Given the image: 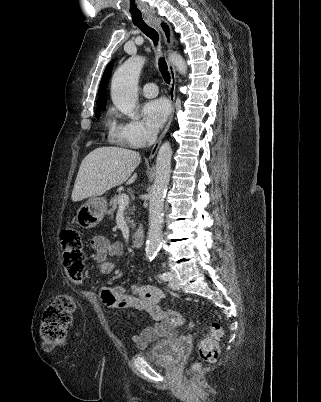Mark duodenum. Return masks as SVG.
Listing matches in <instances>:
<instances>
[{"label": "duodenum", "mask_w": 321, "mask_h": 402, "mask_svg": "<svg viewBox=\"0 0 321 402\" xmlns=\"http://www.w3.org/2000/svg\"><path fill=\"white\" fill-rule=\"evenodd\" d=\"M145 237V232L143 227H138L136 231L132 234L131 243L134 247L139 248L143 245Z\"/></svg>", "instance_id": "1"}]
</instances>
